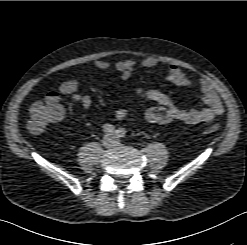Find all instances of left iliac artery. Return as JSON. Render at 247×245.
I'll return each mask as SVG.
<instances>
[{"instance_id":"left-iliac-artery-1","label":"left iliac artery","mask_w":247,"mask_h":245,"mask_svg":"<svg viewBox=\"0 0 247 245\" xmlns=\"http://www.w3.org/2000/svg\"><path fill=\"white\" fill-rule=\"evenodd\" d=\"M116 135L118 137H124L126 135V131L123 128H119L118 130H116Z\"/></svg>"}]
</instances>
